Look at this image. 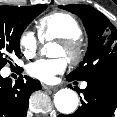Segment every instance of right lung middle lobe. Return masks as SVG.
<instances>
[{
	"instance_id": "1",
	"label": "right lung middle lobe",
	"mask_w": 117,
	"mask_h": 117,
	"mask_svg": "<svg viewBox=\"0 0 117 117\" xmlns=\"http://www.w3.org/2000/svg\"><path fill=\"white\" fill-rule=\"evenodd\" d=\"M46 5L30 7L0 6V69L13 55H20V37L29 23Z\"/></svg>"
}]
</instances>
